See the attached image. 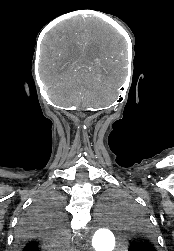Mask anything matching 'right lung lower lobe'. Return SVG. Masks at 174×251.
I'll return each mask as SVG.
<instances>
[{
    "mask_svg": "<svg viewBox=\"0 0 174 251\" xmlns=\"http://www.w3.org/2000/svg\"><path fill=\"white\" fill-rule=\"evenodd\" d=\"M30 217V216H29ZM29 217L26 218L20 225L16 235V248L19 251H25L28 247H33L38 245L39 247H47L50 243L52 244L53 249L59 250L60 243V232L58 230V235L56 240L50 241V239L45 238L41 234L36 233L35 228L32 223L28 222ZM40 251H49V250H40Z\"/></svg>",
    "mask_w": 174,
    "mask_h": 251,
    "instance_id": "1",
    "label": "right lung lower lobe"
}]
</instances>
